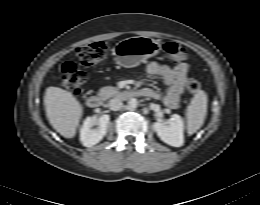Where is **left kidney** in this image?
<instances>
[{"label":"left kidney","mask_w":260,"mask_h":205,"mask_svg":"<svg viewBox=\"0 0 260 205\" xmlns=\"http://www.w3.org/2000/svg\"><path fill=\"white\" fill-rule=\"evenodd\" d=\"M153 129L159 138L173 147H181L184 144V123L181 116L173 114L168 123L155 122Z\"/></svg>","instance_id":"1"}]
</instances>
